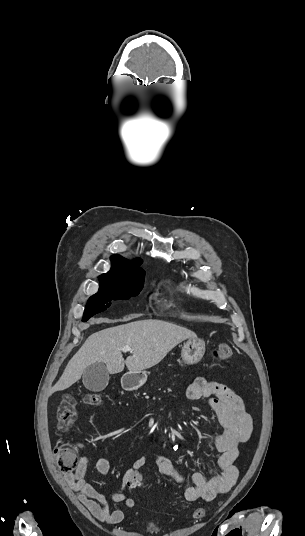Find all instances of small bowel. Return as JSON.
Segmentation results:
<instances>
[{
  "label": "small bowel",
  "instance_id": "obj_1",
  "mask_svg": "<svg viewBox=\"0 0 305 536\" xmlns=\"http://www.w3.org/2000/svg\"><path fill=\"white\" fill-rule=\"evenodd\" d=\"M186 395L190 400L208 398L210 407L225 429L222 433H209L204 436L205 441L220 453L218 473L211 478H207L202 473H194L184 492L187 501L202 499L209 502L227 493L235 485L238 479V469L234 462L239 455L240 446L245 444L252 434V418L236 391L222 383L198 377L188 386ZM146 461L147 458L143 456L135 463L139 464L141 469ZM154 462L158 471L171 481L178 484L185 482L183 475L176 469L170 458L156 455ZM88 464V456L83 455L75 470L65 476V480L97 520L108 525L118 524L122 521L124 513L122 510H110L104 496L85 481L84 476ZM110 469L107 459L99 458L96 461L98 474L106 476ZM129 483L128 469L123 477L122 490L113 496V501L121 503L125 509H132L135 506V500L125 494V489L130 487Z\"/></svg>",
  "mask_w": 305,
  "mask_h": 536
}]
</instances>
